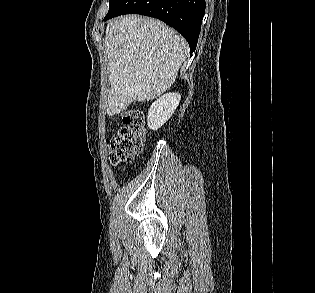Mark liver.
<instances>
[{
  "mask_svg": "<svg viewBox=\"0 0 315 293\" xmlns=\"http://www.w3.org/2000/svg\"><path fill=\"white\" fill-rule=\"evenodd\" d=\"M105 51L111 83L107 114L114 116L134 101L153 100L169 89L189 47L161 21L128 15L108 23Z\"/></svg>",
  "mask_w": 315,
  "mask_h": 293,
  "instance_id": "6515ba94",
  "label": "liver"
}]
</instances>
